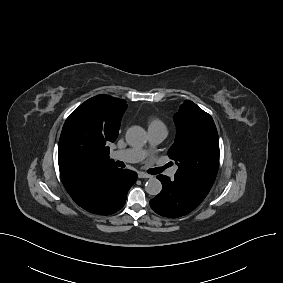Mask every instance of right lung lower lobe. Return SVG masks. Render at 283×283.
I'll use <instances>...</instances> for the list:
<instances>
[{"label":"right lung lower lobe","mask_w":283,"mask_h":283,"mask_svg":"<svg viewBox=\"0 0 283 283\" xmlns=\"http://www.w3.org/2000/svg\"><path fill=\"white\" fill-rule=\"evenodd\" d=\"M136 180V172L112 165L99 169L66 190L84 210L106 215L124 206L128 189Z\"/></svg>","instance_id":"1"}]
</instances>
